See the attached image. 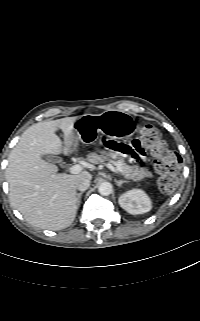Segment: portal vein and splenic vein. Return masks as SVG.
I'll list each match as a JSON object with an SVG mask.
<instances>
[{"instance_id": "18ae733b", "label": "portal vein and splenic vein", "mask_w": 200, "mask_h": 321, "mask_svg": "<svg viewBox=\"0 0 200 321\" xmlns=\"http://www.w3.org/2000/svg\"><path fill=\"white\" fill-rule=\"evenodd\" d=\"M107 168H109L111 171L117 173V174H122L116 167L112 166L111 164H106ZM83 170V166L76 164L70 167L69 172L71 174H78Z\"/></svg>"}]
</instances>
